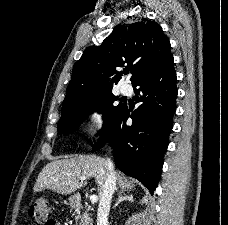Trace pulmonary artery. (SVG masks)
<instances>
[{"label": "pulmonary artery", "instance_id": "obj_1", "mask_svg": "<svg viewBox=\"0 0 228 225\" xmlns=\"http://www.w3.org/2000/svg\"><path fill=\"white\" fill-rule=\"evenodd\" d=\"M130 92H131V88H130V86L128 84H124V85L121 86V93L123 95H127Z\"/></svg>", "mask_w": 228, "mask_h": 225}]
</instances>
